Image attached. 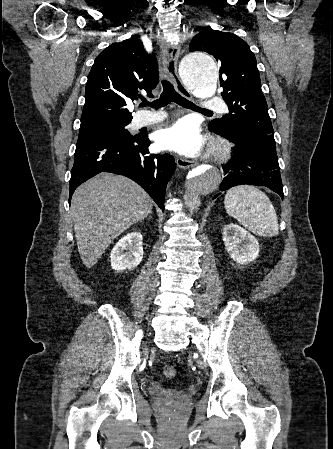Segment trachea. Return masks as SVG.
Here are the masks:
<instances>
[{
    "instance_id": "trachea-1",
    "label": "trachea",
    "mask_w": 333,
    "mask_h": 449,
    "mask_svg": "<svg viewBox=\"0 0 333 449\" xmlns=\"http://www.w3.org/2000/svg\"><path fill=\"white\" fill-rule=\"evenodd\" d=\"M162 86H163V92L160 95V98L153 101L152 103L147 102L145 99H142V103H141V107L143 106H151L155 109H159L161 107H164L166 105H168L170 102H175L178 105L188 108V109H192L195 111H199V112H211L207 109H203L200 108L198 106H196L194 103H192L191 101L187 100L186 98L182 97L181 95H179L175 89L172 83H170L167 80H163L162 81Z\"/></svg>"
}]
</instances>
